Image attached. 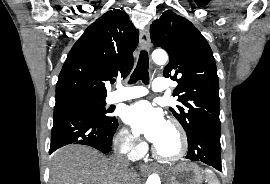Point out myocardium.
Wrapping results in <instances>:
<instances>
[{
	"instance_id": "1",
	"label": "myocardium",
	"mask_w": 270,
	"mask_h": 184,
	"mask_svg": "<svg viewBox=\"0 0 270 184\" xmlns=\"http://www.w3.org/2000/svg\"><path fill=\"white\" fill-rule=\"evenodd\" d=\"M176 132L179 140V148L177 152L173 155H165L161 153L156 146H153L154 156L164 162L173 163L180 161L187 153L188 150V139L185 129L179 121L176 119H171L168 123Z\"/></svg>"
}]
</instances>
